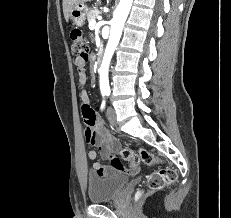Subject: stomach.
<instances>
[{"mask_svg":"<svg viewBox=\"0 0 231 218\" xmlns=\"http://www.w3.org/2000/svg\"><path fill=\"white\" fill-rule=\"evenodd\" d=\"M89 9L84 4H76L70 12V19L76 26H83Z\"/></svg>","mask_w":231,"mask_h":218,"instance_id":"stomach-1","label":"stomach"}]
</instances>
